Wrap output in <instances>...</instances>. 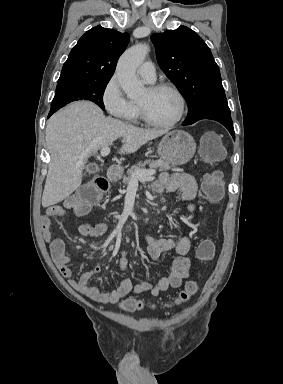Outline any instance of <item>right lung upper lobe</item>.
I'll return each instance as SVG.
<instances>
[{
    "mask_svg": "<svg viewBox=\"0 0 283 384\" xmlns=\"http://www.w3.org/2000/svg\"><path fill=\"white\" fill-rule=\"evenodd\" d=\"M129 34L96 26L87 31L64 63L58 85L109 82Z\"/></svg>",
    "mask_w": 283,
    "mask_h": 384,
    "instance_id": "cb5924a9",
    "label": "right lung upper lobe"
}]
</instances>
